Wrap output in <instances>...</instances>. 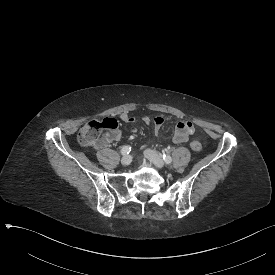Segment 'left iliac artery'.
I'll return each instance as SVG.
<instances>
[{"label":"left iliac artery","mask_w":275,"mask_h":275,"mask_svg":"<svg viewBox=\"0 0 275 275\" xmlns=\"http://www.w3.org/2000/svg\"><path fill=\"white\" fill-rule=\"evenodd\" d=\"M163 159L167 164H170L172 162V158L170 155L163 154Z\"/></svg>","instance_id":"obj_1"}]
</instances>
